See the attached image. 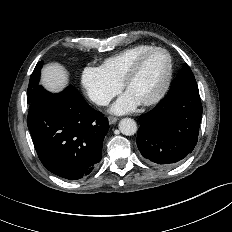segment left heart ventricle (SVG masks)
Returning <instances> with one entry per match:
<instances>
[{"instance_id":"obj_1","label":"left heart ventricle","mask_w":232,"mask_h":232,"mask_svg":"<svg viewBox=\"0 0 232 232\" xmlns=\"http://www.w3.org/2000/svg\"><path fill=\"white\" fill-rule=\"evenodd\" d=\"M167 68L168 59L164 52L151 53L144 59L126 91L140 103L152 98L163 85Z\"/></svg>"}]
</instances>
